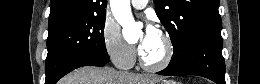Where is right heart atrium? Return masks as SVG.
<instances>
[{
	"label": "right heart atrium",
	"mask_w": 260,
	"mask_h": 84,
	"mask_svg": "<svg viewBox=\"0 0 260 84\" xmlns=\"http://www.w3.org/2000/svg\"><path fill=\"white\" fill-rule=\"evenodd\" d=\"M102 40L106 54L120 68L131 67L136 59V52L123 37L120 27L111 19H106L102 29Z\"/></svg>",
	"instance_id": "obj_1"
}]
</instances>
